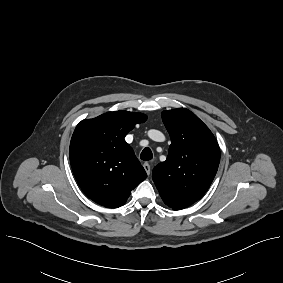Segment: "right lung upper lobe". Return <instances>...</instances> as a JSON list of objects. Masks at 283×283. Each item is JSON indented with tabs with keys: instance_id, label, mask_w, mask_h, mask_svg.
I'll return each mask as SVG.
<instances>
[{
	"instance_id": "1",
	"label": "right lung upper lobe",
	"mask_w": 283,
	"mask_h": 283,
	"mask_svg": "<svg viewBox=\"0 0 283 283\" xmlns=\"http://www.w3.org/2000/svg\"><path fill=\"white\" fill-rule=\"evenodd\" d=\"M147 116L115 111L83 120L70 142V163L83 192L107 208L125 204L147 174L124 137Z\"/></svg>"
}]
</instances>
